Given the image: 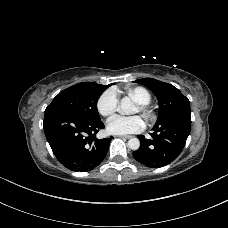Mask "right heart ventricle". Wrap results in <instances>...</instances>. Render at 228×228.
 I'll use <instances>...</instances> for the list:
<instances>
[{
    "label": "right heart ventricle",
    "mask_w": 228,
    "mask_h": 228,
    "mask_svg": "<svg viewBox=\"0 0 228 228\" xmlns=\"http://www.w3.org/2000/svg\"><path fill=\"white\" fill-rule=\"evenodd\" d=\"M127 95L136 103L149 104L152 99L151 93L144 87L136 86L126 89Z\"/></svg>",
    "instance_id": "1"
}]
</instances>
